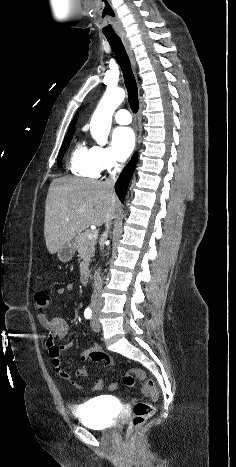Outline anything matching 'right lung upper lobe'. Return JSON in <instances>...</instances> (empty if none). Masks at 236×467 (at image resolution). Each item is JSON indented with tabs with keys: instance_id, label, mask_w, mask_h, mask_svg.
I'll use <instances>...</instances> for the list:
<instances>
[{
	"instance_id": "obj_1",
	"label": "right lung upper lobe",
	"mask_w": 236,
	"mask_h": 467,
	"mask_svg": "<svg viewBox=\"0 0 236 467\" xmlns=\"http://www.w3.org/2000/svg\"><path fill=\"white\" fill-rule=\"evenodd\" d=\"M77 117H78V115H76V116L74 117V119H73V121H72V124L70 125V128H69L67 134L74 133V131H75V123H76V121H77Z\"/></svg>"
}]
</instances>
